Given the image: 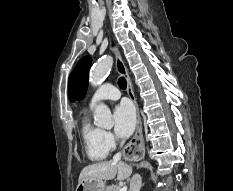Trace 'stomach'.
<instances>
[{
  "label": "stomach",
  "instance_id": "1",
  "mask_svg": "<svg viewBox=\"0 0 233 191\" xmlns=\"http://www.w3.org/2000/svg\"><path fill=\"white\" fill-rule=\"evenodd\" d=\"M75 191H106V185L102 180H86L79 182Z\"/></svg>",
  "mask_w": 233,
  "mask_h": 191
}]
</instances>
